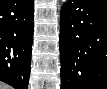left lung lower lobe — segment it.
I'll return each mask as SVG.
<instances>
[{
	"label": "left lung lower lobe",
	"instance_id": "left-lung-lower-lobe-1",
	"mask_svg": "<svg viewBox=\"0 0 107 89\" xmlns=\"http://www.w3.org/2000/svg\"><path fill=\"white\" fill-rule=\"evenodd\" d=\"M61 89H107V0H69L60 17Z\"/></svg>",
	"mask_w": 107,
	"mask_h": 89
}]
</instances>
